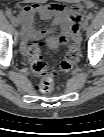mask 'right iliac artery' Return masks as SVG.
<instances>
[{"instance_id": "1", "label": "right iliac artery", "mask_w": 104, "mask_h": 137, "mask_svg": "<svg viewBox=\"0 0 104 137\" xmlns=\"http://www.w3.org/2000/svg\"><path fill=\"white\" fill-rule=\"evenodd\" d=\"M6 16H8L9 18L12 17V12H11V10H7V11H6Z\"/></svg>"}]
</instances>
